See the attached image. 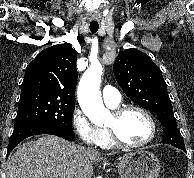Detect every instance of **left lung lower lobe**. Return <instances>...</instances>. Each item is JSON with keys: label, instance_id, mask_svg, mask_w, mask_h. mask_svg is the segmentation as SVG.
Segmentation results:
<instances>
[{"label": "left lung lower lobe", "instance_id": "obj_1", "mask_svg": "<svg viewBox=\"0 0 194 178\" xmlns=\"http://www.w3.org/2000/svg\"><path fill=\"white\" fill-rule=\"evenodd\" d=\"M164 136L160 143L170 144L186 151L183 139L177 126H167L163 130Z\"/></svg>", "mask_w": 194, "mask_h": 178}]
</instances>
